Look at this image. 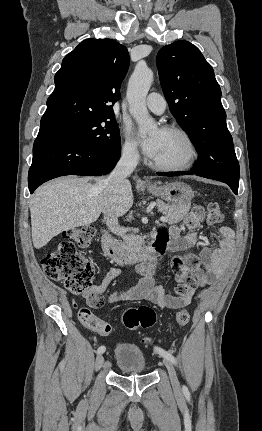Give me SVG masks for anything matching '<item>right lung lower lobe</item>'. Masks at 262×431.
<instances>
[{"mask_svg": "<svg viewBox=\"0 0 262 431\" xmlns=\"http://www.w3.org/2000/svg\"><path fill=\"white\" fill-rule=\"evenodd\" d=\"M120 158V146L109 150L72 137L39 132L28 174L30 193L42 183L64 175L100 176L109 173Z\"/></svg>", "mask_w": 262, "mask_h": 431, "instance_id": "98d812e1", "label": "right lung lower lobe"}]
</instances>
